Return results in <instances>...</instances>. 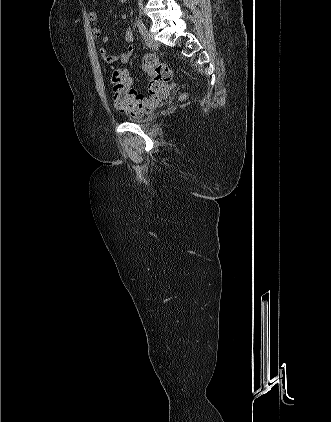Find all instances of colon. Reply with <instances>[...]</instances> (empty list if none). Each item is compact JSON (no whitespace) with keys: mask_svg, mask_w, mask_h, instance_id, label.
Segmentation results:
<instances>
[{"mask_svg":"<svg viewBox=\"0 0 331 422\" xmlns=\"http://www.w3.org/2000/svg\"><path fill=\"white\" fill-rule=\"evenodd\" d=\"M142 70L151 78L148 88L152 99L138 94L131 87V81L125 69H113L111 85L114 105L118 111L141 116L152 111L165 95L172 76L169 65L159 61L154 55H146L142 61Z\"/></svg>","mask_w":331,"mask_h":422,"instance_id":"1","label":"colon"}]
</instances>
